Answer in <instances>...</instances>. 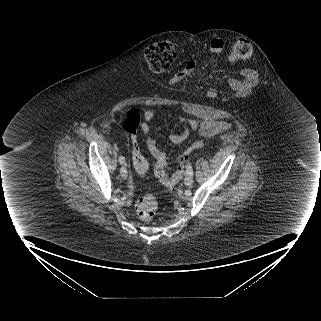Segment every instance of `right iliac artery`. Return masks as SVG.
Listing matches in <instances>:
<instances>
[{"label": "right iliac artery", "instance_id": "obj_1", "mask_svg": "<svg viewBox=\"0 0 321 321\" xmlns=\"http://www.w3.org/2000/svg\"><path fill=\"white\" fill-rule=\"evenodd\" d=\"M120 164H123L125 162V158L123 156L119 157Z\"/></svg>", "mask_w": 321, "mask_h": 321}]
</instances>
